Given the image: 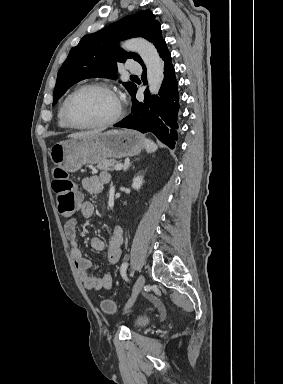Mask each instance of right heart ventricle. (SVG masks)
I'll return each instance as SVG.
<instances>
[{
    "label": "right heart ventricle",
    "instance_id": "e07e8e85",
    "mask_svg": "<svg viewBox=\"0 0 283 384\" xmlns=\"http://www.w3.org/2000/svg\"><path fill=\"white\" fill-rule=\"evenodd\" d=\"M66 97L63 98V100L60 102L58 110H57V124L61 129H68V127L64 124L63 118H62V110H63V105Z\"/></svg>",
    "mask_w": 283,
    "mask_h": 384
}]
</instances>
